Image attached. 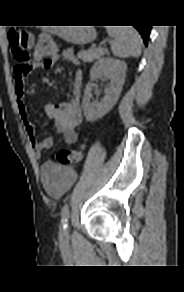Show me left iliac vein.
Listing matches in <instances>:
<instances>
[{
	"mask_svg": "<svg viewBox=\"0 0 184 292\" xmlns=\"http://www.w3.org/2000/svg\"><path fill=\"white\" fill-rule=\"evenodd\" d=\"M69 234V229L68 228H64L60 231V240L65 239Z\"/></svg>",
	"mask_w": 184,
	"mask_h": 292,
	"instance_id": "4c4485c4",
	"label": "left iliac vein"
}]
</instances>
